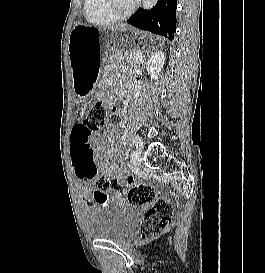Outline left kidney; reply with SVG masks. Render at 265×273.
<instances>
[{
	"mask_svg": "<svg viewBox=\"0 0 265 273\" xmlns=\"http://www.w3.org/2000/svg\"><path fill=\"white\" fill-rule=\"evenodd\" d=\"M165 62V54L162 51H158L153 54L150 59L147 61L146 69L150 74L151 79H157L159 73L161 72Z\"/></svg>",
	"mask_w": 265,
	"mask_h": 273,
	"instance_id": "5707ae66",
	"label": "left kidney"
}]
</instances>
